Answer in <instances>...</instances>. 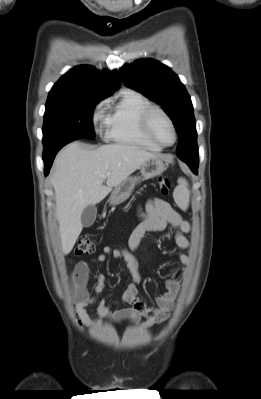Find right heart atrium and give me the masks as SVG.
<instances>
[{
	"mask_svg": "<svg viewBox=\"0 0 261 399\" xmlns=\"http://www.w3.org/2000/svg\"><path fill=\"white\" fill-rule=\"evenodd\" d=\"M106 102H100L94 109L92 115V121L97 132H100L102 126L105 124L106 114H105Z\"/></svg>",
	"mask_w": 261,
	"mask_h": 399,
	"instance_id": "obj_1",
	"label": "right heart atrium"
}]
</instances>
